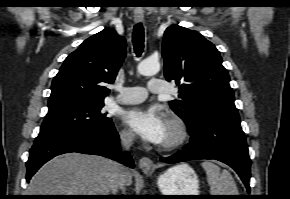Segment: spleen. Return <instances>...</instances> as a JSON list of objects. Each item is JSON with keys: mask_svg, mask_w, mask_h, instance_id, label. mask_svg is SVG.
<instances>
[{"mask_svg": "<svg viewBox=\"0 0 290 199\" xmlns=\"http://www.w3.org/2000/svg\"><path fill=\"white\" fill-rule=\"evenodd\" d=\"M207 174L210 195H238L236 184L227 170L221 169L211 161L201 163Z\"/></svg>", "mask_w": 290, "mask_h": 199, "instance_id": "3e777b00", "label": "spleen"}]
</instances>
